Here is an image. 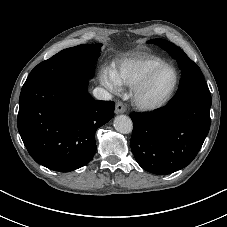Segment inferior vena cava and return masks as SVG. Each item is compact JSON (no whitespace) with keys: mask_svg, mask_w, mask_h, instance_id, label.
<instances>
[{"mask_svg":"<svg viewBox=\"0 0 227 227\" xmlns=\"http://www.w3.org/2000/svg\"><path fill=\"white\" fill-rule=\"evenodd\" d=\"M93 95L98 100H111L112 99V95L107 90H105L104 88H101V87H96L93 90Z\"/></svg>","mask_w":227,"mask_h":227,"instance_id":"inferior-vena-cava-1","label":"inferior vena cava"}]
</instances>
